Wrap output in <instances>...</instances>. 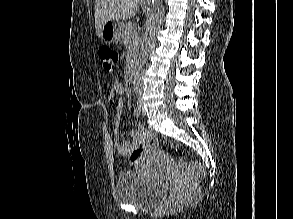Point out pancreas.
Here are the masks:
<instances>
[{
  "mask_svg": "<svg viewBox=\"0 0 293 219\" xmlns=\"http://www.w3.org/2000/svg\"><path fill=\"white\" fill-rule=\"evenodd\" d=\"M122 41L125 47L129 50L132 61H134L138 53L139 36L136 28L132 23H127L125 25V30L122 35Z\"/></svg>",
  "mask_w": 293,
  "mask_h": 219,
  "instance_id": "1",
  "label": "pancreas"
}]
</instances>
